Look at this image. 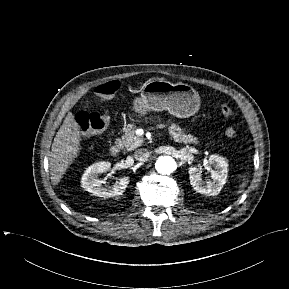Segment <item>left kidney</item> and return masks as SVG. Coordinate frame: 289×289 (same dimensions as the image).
Listing matches in <instances>:
<instances>
[{"mask_svg": "<svg viewBox=\"0 0 289 289\" xmlns=\"http://www.w3.org/2000/svg\"><path fill=\"white\" fill-rule=\"evenodd\" d=\"M209 165H213L215 170H212ZM207 169L211 173L212 180L203 181L201 171L196 167H190L188 171L190 184L200 194L207 196L218 195L226 183L228 163L224 157L214 154L209 157Z\"/></svg>", "mask_w": 289, "mask_h": 289, "instance_id": "5707ae66", "label": "left kidney"}]
</instances>
